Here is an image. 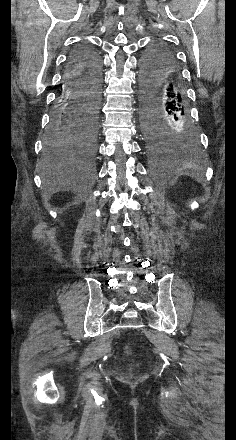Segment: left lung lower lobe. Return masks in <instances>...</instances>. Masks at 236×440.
Here are the masks:
<instances>
[{"mask_svg": "<svg viewBox=\"0 0 236 440\" xmlns=\"http://www.w3.org/2000/svg\"><path fill=\"white\" fill-rule=\"evenodd\" d=\"M140 102L141 129L152 151L195 140L185 85L172 52L142 63Z\"/></svg>", "mask_w": 236, "mask_h": 440, "instance_id": "1", "label": "left lung lower lobe"}]
</instances>
